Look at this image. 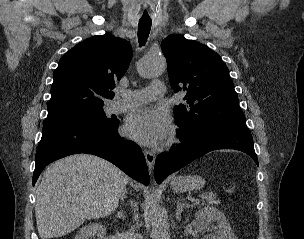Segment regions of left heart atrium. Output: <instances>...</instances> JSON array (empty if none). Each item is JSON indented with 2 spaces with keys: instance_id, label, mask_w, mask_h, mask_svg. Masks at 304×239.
<instances>
[{
  "instance_id": "1",
  "label": "left heart atrium",
  "mask_w": 304,
  "mask_h": 239,
  "mask_svg": "<svg viewBox=\"0 0 304 239\" xmlns=\"http://www.w3.org/2000/svg\"><path fill=\"white\" fill-rule=\"evenodd\" d=\"M168 115L153 108H143L133 112L125 124L126 134L133 140L149 146H157L171 133Z\"/></svg>"
}]
</instances>
